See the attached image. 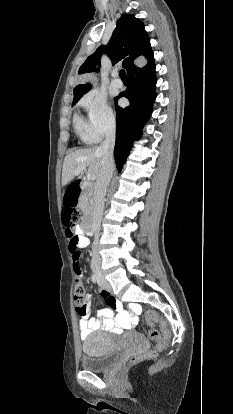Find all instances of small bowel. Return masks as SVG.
<instances>
[{"instance_id":"small-bowel-1","label":"small bowel","mask_w":233,"mask_h":414,"mask_svg":"<svg viewBox=\"0 0 233 414\" xmlns=\"http://www.w3.org/2000/svg\"><path fill=\"white\" fill-rule=\"evenodd\" d=\"M76 233L78 248H85L89 245V239L81 232ZM80 252L74 251L71 258L73 271L76 279L82 278V269L80 261ZM102 296L109 308L105 309L101 316L92 317L91 296L87 295L88 302L83 305H77L76 311L81 312L79 315V327L81 338L85 339L93 330L104 329L113 332H119L123 329H131L137 324V314L141 308L136 301L128 302L126 309H123L122 303L107 292H102Z\"/></svg>"}]
</instances>
